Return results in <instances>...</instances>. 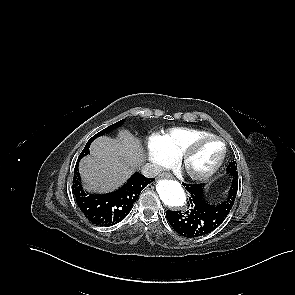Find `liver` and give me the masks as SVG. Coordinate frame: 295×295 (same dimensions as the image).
Returning a JSON list of instances; mask_svg holds the SVG:
<instances>
[{"label":"liver","mask_w":295,"mask_h":295,"mask_svg":"<svg viewBox=\"0 0 295 295\" xmlns=\"http://www.w3.org/2000/svg\"><path fill=\"white\" fill-rule=\"evenodd\" d=\"M143 162L139 140L121 130L117 139L102 136L93 141L90 156L81 160L79 171L87 190L108 192L122 185Z\"/></svg>","instance_id":"liver-1"}]
</instances>
